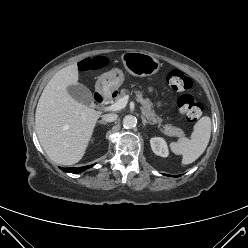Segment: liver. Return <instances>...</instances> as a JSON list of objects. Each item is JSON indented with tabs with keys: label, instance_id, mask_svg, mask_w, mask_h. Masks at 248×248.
Wrapping results in <instances>:
<instances>
[{
	"label": "liver",
	"instance_id": "obj_1",
	"mask_svg": "<svg viewBox=\"0 0 248 248\" xmlns=\"http://www.w3.org/2000/svg\"><path fill=\"white\" fill-rule=\"evenodd\" d=\"M77 64L59 70L44 88L37 104L35 127L48 157L62 165L79 162L101 115L73 99L67 88L77 85Z\"/></svg>",
	"mask_w": 248,
	"mask_h": 248
}]
</instances>
